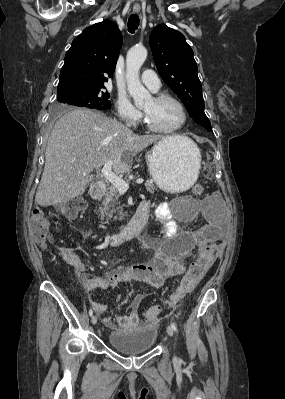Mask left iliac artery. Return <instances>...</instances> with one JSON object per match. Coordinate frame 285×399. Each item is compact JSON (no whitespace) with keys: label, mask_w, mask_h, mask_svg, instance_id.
Returning a JSON list of instances; mask_svg holds the SVG:
<instances>
[{"label":"left iliac artery","mask_w":285,"mask_h":399,"mask_svg":"<svg viewBox=\"0 0 285 399\" xmlns=\"http://www.w3.org/2000/svg\"><path fill=\"white\" fill-rule=\"evenodd\" d=\"M171 327L174 331H177V326L174 322L171 323Z\"/></svg>","instance_id":"obj_1"}]
</instances>
